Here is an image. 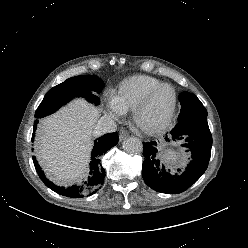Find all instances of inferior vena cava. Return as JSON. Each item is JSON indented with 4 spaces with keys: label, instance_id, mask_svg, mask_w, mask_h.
<instances>
[{
    "label": "inferior vena cava",
    "instance_id": "602c4592",
    "mask_svg": "<svg viewBox=\"0 0 248 248\" xmlns=\"http://www.w3.org/2000/svg\"><path fill=\"white\" fill-rule=\"evenodd\" d=\"M117 130L116 122L109 117H101L97 122L94 134L99 136L105 133L115 132Z\"/></svg>",
    "mask_w": 248,
    "mask_h": 248
}]
</instances>
